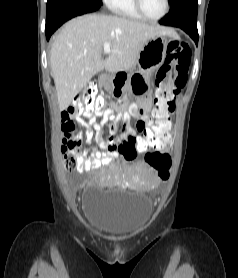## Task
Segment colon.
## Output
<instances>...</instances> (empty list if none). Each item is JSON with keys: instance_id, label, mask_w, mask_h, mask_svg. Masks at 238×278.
Wrapping results in <instances>:
<instances>
[{"instance_id": "5ec220e1", "label": "colon", "mask_w": 238, "mask_h": 278, "mask_svg": "<svg viewBox=\"0 0 238 278\" xmlns=\"http://www.w3.org/2000/svg\"><path fill=\"white\" fill-rule=\"evenodd\" d=\"M191 52L184 42L172 41L167 46L164 64L155 75V92L152 100V116L154 123L149 128L146 137H130L129 141H120V150L124 158L132 160L136 156H145V160L165 180L171 161L167 154H161V149H167V142L163 137L170 134L172 128L171 114L175 109V98L186 83L187 68ZM105 98L98 95L97 88L89 84L83 88L73 101V112H95L103 110ZM67 134L63 143L64 167L68 171L78 170V158L82 155L80 142L74 140L75 124L67 121L62 125ZM111 145V142H108ZM154 149V150H153Z\"/></svg>"}]
</instances>
